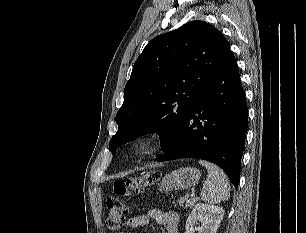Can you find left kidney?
<instances>
[{
  "mask_svg": "<svg viewBox=\"0 0 306 233\" xmlns=\"http://www.w3.org/2000/svg\"><path fill=\"white\" fill-rule=\"evenodd\" d=\"M224 209L215 205L198 203L186 221L185 233H216L224 216ZM201 226L196 228V224Z\"/></svg>",
  "mask_w": 306,
  "mask_h": 233,
  "instance_id": "left-kidney-1",
  "label": "left kidney"
}]
</instances>
